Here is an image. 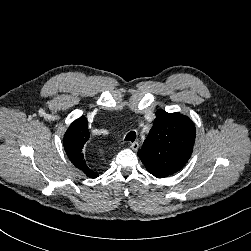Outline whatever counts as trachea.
Instances as JSON below:
<instances>
[{
  "instance_id": "trachea-1",
  "label": "trachea",
  "mask_w": 251,
  "mask_h": 251,
  "mask_svg": "<svg viewBox=\"0 0 251 251\" xmlns=\"http://www.w3.org/2000/svg\"><path fill=\"white\" fill-rule=\"evenodd\" d=\"M135 139H136V132H135V131L129 132V133L126 135V137H125V141L134 142Z\"/></svg>"
}]
</instances>
